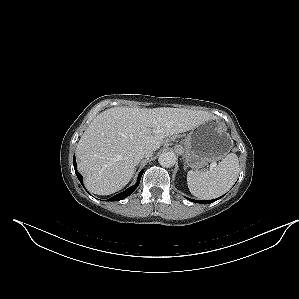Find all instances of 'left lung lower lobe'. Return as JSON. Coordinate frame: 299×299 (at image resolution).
Listing matches in <instances>:
<instances>
[{
  "label": "left lung lower lobe",
  "instance_id": "0a47b994",
  "mask_svg": "<svg viewBox=\"0 0 299 299\" xmlns=\"http://www.w3.org/2000/svg\"><path fill=\"white\" fill-rule=\"evenodd\" d=\"M219 198H221V197H219ZM187 199L190 200V201H192V202H198V203H201V204H210V203H212L213 201H215V200L196 201V200L189 199V198H187ZM216 200H218V198H217Z\"/></svg>",
  "mask_w": 299,
  "mask_h": 299
}]
</instances>
